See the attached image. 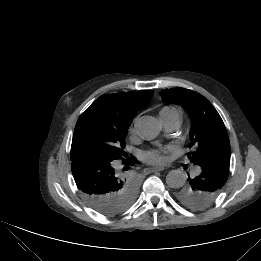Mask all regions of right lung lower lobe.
<instances>
[{
    "instance_id": "1",
    "label": "right lung lower lobe",
    "mask_w": 261,
    "mask_h": 261,
    "mask_svg": "<svg viewBox=\"0 0 261 261\" xmlns=\"http://www.w3.org/2000/svg\"><path fill=\"white\" fill-rule=\"evenodd\" d=\"M71 160L76 185L93 209L101 214L114 216L129 207L124 203L123 196L119 197L128 178L114 169V161L81 153L72 154ZM123 163L128 168L134 161L123 159Z\"/></svg>"
}]
</instances>
